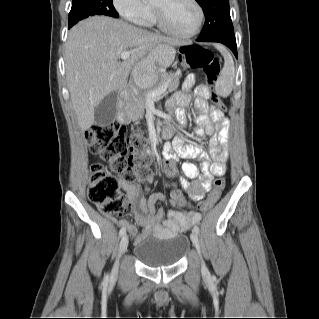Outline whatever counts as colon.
<instances>
[{
  "label": "colon",
  "mask_w": 319,
  "mask_h": 319,
  "mask_svg": "<svg viewBox=\"0 0 319 319\" xmlns=\"http://www.w3.org/2000/svg\"><path fill=\"white\" fill-rule=\"evenodd\" d=\"M179 62L184 67L202 69L206 84L212 86L219 78L221 66L211 51L193 44L184 45L180 50ZM209 99L215 108H223L218 95L211 90ZM86 139L90 150L99 153L109 163V171L100 163L92 164L89 178V198L100 205L101 210L109 215H121L128 207V202L120 190V176L126 182L137 178L146 179L150 175L151 162L145 154L146 139L141 132L127 137L125 128L116 122L93 125L87 132ZM225 180L217 177L209 198L199 204V211L206 213L219 201ZM171 198L179 205H186L180 191L173 190Z\"/></svg>",
  "instance_id": "5ec220e1"
}]
</instances>
